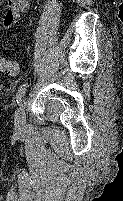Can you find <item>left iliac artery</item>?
I'll list each match as a JSON object with an SVG mask.
<instances>
[{
    "mask_svg": "<svg viewBox=\"0 0 123 201\" xmlns=\"http://www.w3.org/2000/svg\"><path fill=\"white\" fill-rule=\"evenodd\" d=\"M29 83L28 82H25L24 84H22L19 89H18V92H17V95H16V101H17V104H19L20 102H22V99L24 97V94H25V91L28 87Z\"/></svg>",
    "mask_w": 123,
    "mask_h": 201,
    "instance_id": "1",
    "label": "left iliac artery"
}]
</instances>
